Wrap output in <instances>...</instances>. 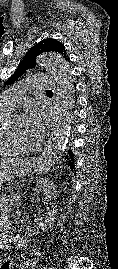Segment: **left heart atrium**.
<instances>
[{
  "label": "left heart atrium",
  "mask_w": 118,
  "mask_h": 269,
  "mask_svg": "<svg viewBox=\"0 0 118 269\" xmlns=\"http://www.w3.org/2000/svg\"><path fill=\"white\" fill-rule=\"evenodd\" d=\"M25 131L33 139L42 138L49 130L51 114L46 105L40 101L27 104L25 115Z\"/></svg>",
  "instance_id": "left-heart-atrium-1"
}]
</instances>
